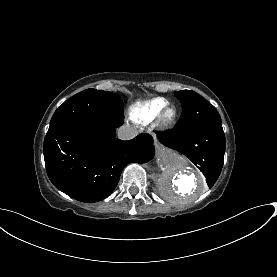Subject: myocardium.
Returning <instances> with one entry per match:
<instances>
[{
    "label": "myocardium",
    "mask_w": 277,
    "mask_h": 277,
    "mask_svg": "<svg viewBox=\"0 0 277 277\" xmlns=\"http://www.w3.org/2000/svg\"><path fill=\"white\" fill-rule=\"evenodd\" d=\"M169 111L172 112L171 116H168ZM177 116L178 111L175 106L167 104L158 112L155 120V126L160 129H168L175 124Z\"/></svg>",
    "instance_id": "1"
}]
</instances>
